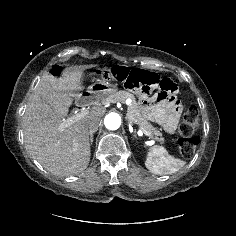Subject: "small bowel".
Instances as JSON below:
<instances>
[{
  "instance_id": "c3829d8e",
  "label": "small bowel",
  "mask_w": 236,
  "mask_h": 236,
  "mask_svg": "<svg viewBox=\"0 0 236 236\" xmlns=\"http://www.w3.org/2000/svg\"><path fill=\"white\" fill-rule=\"evenodd\" d=\"M167 79V78H165ZM147 117L159 124L165 132L174 133L179 121L181 109L168 97L143 103Z\"/></svg>"
}]
</instances>
